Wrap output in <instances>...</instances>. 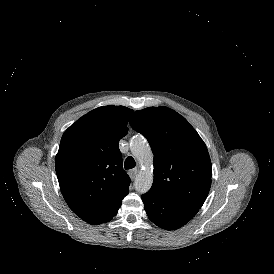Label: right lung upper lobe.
<instances>
[{
    "instance_id": "cb5924a9",
    "label": "right lung upper lobe",
    "mask_w": 274,
    "mask_h": 274,
    "mask_svg": "<svg viewBox=\"0 0 274 274\" xmlns=\"http://www.w3.org/2000/svg\"><path fill=\"white\" fill-rule=\"evenodd\" d=\"M132 113L123 106L99 107L62 136L55 158L60 189L71 210L90 224L110 221L129 192L118 143Z\"/></svg>"
}]
</instances>
